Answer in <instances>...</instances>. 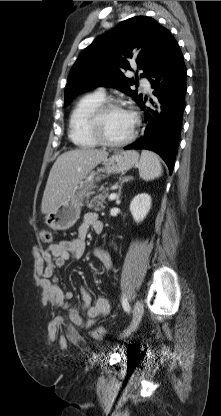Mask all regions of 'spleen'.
Here are the masks:
<instances>
[{"instance_id": "obj_1", "label": "spleen", "mask_w": 221, "mask_h": 416, "mask_svg": "<svg viewBox=\"0 0 221 416\" xmlns=\"http://www.w3.org/2000/svg\"><path fill=\"white\" fill-rule=\"evenodd\" d=\"M140 177L145 180H153L162 174V166L157 154L149 150H142L139 164Z\"/></svg>"}]
</instances>
